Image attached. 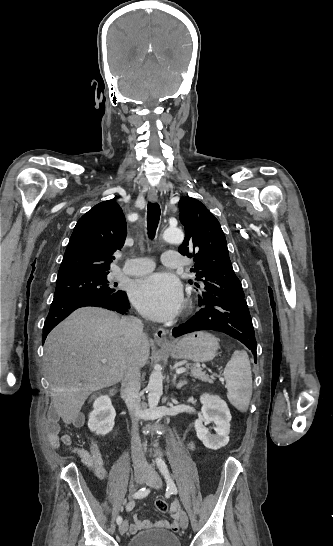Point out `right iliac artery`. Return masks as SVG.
Segmentation results:
<instances>
[{
  "mask_svg": "<svg viewBox=\"0 0 333 546\" xmlns=\"http://www.w3.org/2000/svg\"><path fill=\"white\" fill-rule=\"evenodd\" d=\"M149 489H146V488H142L140 490H138L136 493H134L132 495L133 498H143V497H146L148 494H149ZM117 524L120 525L122 523V517L121 516H118L117 519Z\"/></svg>",
  "mask_w": 333,
  "mask_h": 546,
  "instance_id": "obj_1",
  "label": "right iliac artery"
}]
</instances>
